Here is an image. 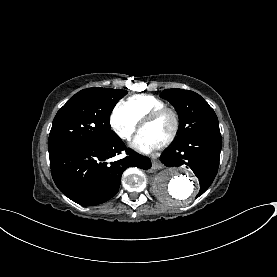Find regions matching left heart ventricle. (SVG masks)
Here are the masks:
<instances>
[{
	"instance_id": "left-heart-ventricle-1",
	"label": "left heart ventricle",
	"mask_w": 277,
	"mask_h": 277,
	"mask_svg": "<svg viewBox=\"0 0 277 277\" xmlns=\"http://www.w3.org/2000/svg\"><path fill=\"white\" fill-rule=\"evenodd\" d=\"M173 128V119L165 114L156 121L144 126L142 130L157 142H162Z\"/></svg>"
}]
</instances>
